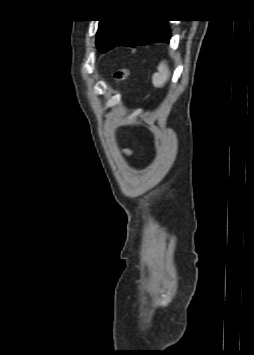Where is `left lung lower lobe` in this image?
<instances>
[{
  "mask_svg": "<svg viewBox=\"0 0 254 355\" xmlns=\"http://www.w3.org/2000/svg\"><path fill=\"white\" fill-rule=\"evenodd\" d=\"M171 37L167 21L160 19H133L125 26L120 39L114 47L128 45L135 47L139 44L168 42Z\"/></svg>",
  "mask_w": 254,
  "mask_h": 355,
  "instance_id": "0a47b994",
  "label": "left lung lower lobe"
}]
</instances>
